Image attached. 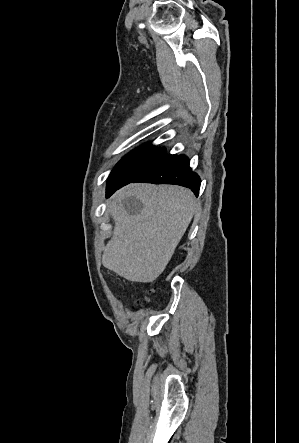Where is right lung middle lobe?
<instances>
[{
  "label": "right lung middle lobe",
  "instance_id": "dd1d6c3e",
  "mask_svg": "<svg viewBox=\"0 0 299 443\" xmlns=\"http://www.w3.org/2000/svg\"><path fill=\"white\" fill-rule=\"evenodd\" d=\"M165 155L164 148H155L150 143L131 151L111 172L107 187L131 182L153 167Z\"/></svg>",
  "mask_w": 299,
  "mask_h": 443
}]
</instances>
